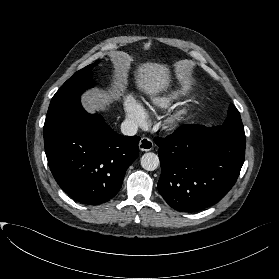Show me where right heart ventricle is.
Segmentation results:
<instances>
[{
	"label": "right heart ventricle",
	"mask_w": 279,
	"mask_h": 279,
	"mask_svg": "<svg viewBox=\"0 0 279 279\" xmlns=\"http://www.w3.org/2000/svg\"><path fill=\"white\" fill-rule=\"evenodd\" d=\"M190 91V87L181 81H175L157 90L150 96V102L159 109H167L172 104Z\"/></svg>",
	"instance_id": "1"
}]
</instances>
